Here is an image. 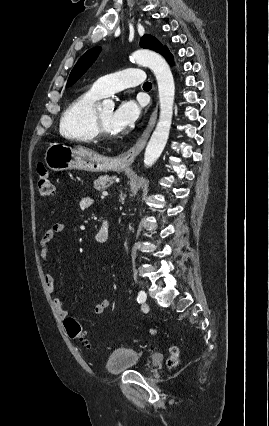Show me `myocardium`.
I'll return each mask as SVG.
<instances>
[{
  "label": "myocardium",
  "mask_w": 269,
  "mask_h": 426,
  "mask_svg": "<svg viewBox=\"0 0 269 426\" xmlns=\"http://www.w3.org/2000/svg\"><path fill=\"white\" fill-rule=\"evenodd\" d=\"M93 124L96 131V137L103 139V140H110L114 139L116 137V134H110L106 131L105 127L103 126L98 111L95 110L94 117H93Z\"/></svg>",
  "instance_id": "1"
}]
</instances>
